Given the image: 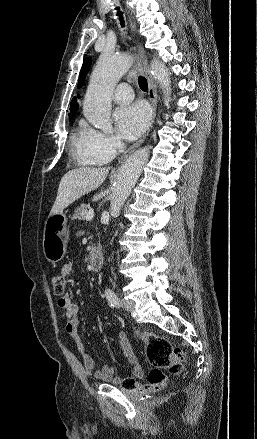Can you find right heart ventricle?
I'll list each match as a JSON object with an SVG mask.
<instances>
[{
  "mask_svg": "<svg viewBox=\"0 0 257 439\" xmlns=\"http://www.w3.org/2000/svg\"><path fill=\"white\" fill-rule=\"evenodd\" d=\"M73 152L82 159L87 165H98L103 162L91 158L86 153V132L84 130L75 131L71 138Z\"/></svg>",
  "mask_w": 257,
  "mask_h": 439,
  "instance_id": "e07e8e85",
  "label": "right heart ventricle"
}]
</instances>
